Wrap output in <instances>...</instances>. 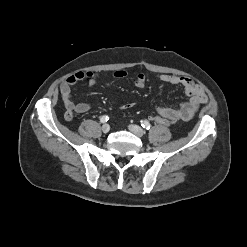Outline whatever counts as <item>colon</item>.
Listing matches in <instances>:
<instances>
[{
	"label": "colon",
	"mask_w": 247,
	"mask_h": 247,
	"mask_svg": "<svg viewBox=\"0 0 247 247\" xmlns=\"http://www.w3.org/2000/svg\"><path fill=\"white\" fill-rule=\"evenodd\" d=\"M152 119L155 123L159 125H163V126H171L173 123L171 119L161 116V115L153 116Z\"/></svg>",
	"instance_id": "colon-1"
}]
</instances>
